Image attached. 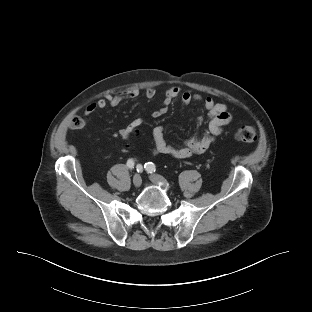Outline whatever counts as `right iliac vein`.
<instances>
[{
  "mask_svg": "<svg viewBox=\"0 0 312 312\" xmlns=\"http://www.w3.org/2000/svg\"><path fill=\"white\" fill-rule=\"evenodd\" d=\"M142 184V178L139 174H135L133 177V185L138 188Z\"/></svg>",
  "mask_w": 312,
  "mask_h": 312,
  "instance_id": "obj_1",
  "label": "right iliac vein"
}]
</instances>
